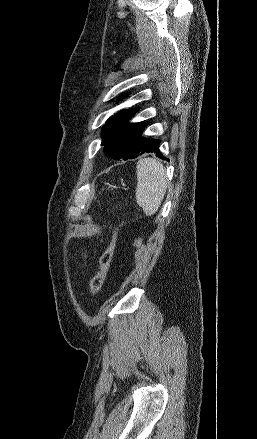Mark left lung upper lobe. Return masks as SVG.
I'll use <instances>...</instances> for the list:
<instances>
[{"label":"left lung upper lobe","mask_w":257,"mask_h":439,"mask_svg":"<svg viewBox=\"0 0 257 439\" xmlns=\"http://www.w3.org/2000/svg\"><path fill=\"white\" fill-rule=\"evenodd\" d=\"M138 111L121 110L110 117L103 127L101 145L104 152L112 159L119 160L129 155L138 144L141 133L145 127L143 123H129L131 117Z\"/></svg>","instance_id":"5c2ea615"}]
</instances>
